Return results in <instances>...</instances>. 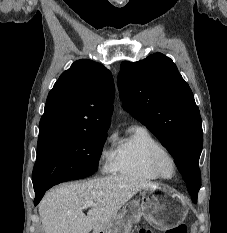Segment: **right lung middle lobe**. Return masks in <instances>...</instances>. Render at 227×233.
<instances>
[{"label": "right lung middle lobe", "instance_id": "1", "mask_svg": "<svg viewBox=\"0 0 227 233\" xmlns=\"http://www.w3.org/2000/svg\"><path fill=\"white\" fill-rule=\"evenodd\" d=\"M106 131L52 130L39 133L33 186L85 178L98 169Z\"/></svg>", "mask_w": 227, "mask_h": 233}]
</instances>
